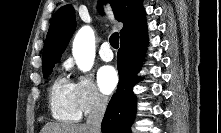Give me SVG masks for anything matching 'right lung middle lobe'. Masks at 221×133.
<instances>
[{"mask_svg": "<svg viewBox=\"0 0 221 133\" xmlns=\"http://www.w3.org/2000/svg\"><path fill=\"white\" fill-rule=\"evenodd\" d=\"M55 64L56 63H52V64H48V65L43 66V76H44V78L48 77V75L51 74L52 68L54 67Z\"/></svg>", "mask_w": 221, "mask_h": 133, "instance_id": "obj_1", "label": "right lung middle lobe"}]
</instances>
